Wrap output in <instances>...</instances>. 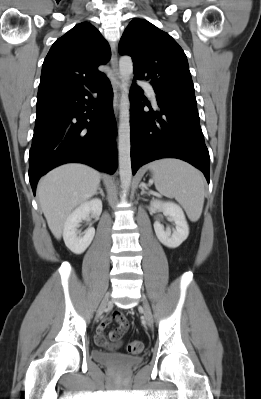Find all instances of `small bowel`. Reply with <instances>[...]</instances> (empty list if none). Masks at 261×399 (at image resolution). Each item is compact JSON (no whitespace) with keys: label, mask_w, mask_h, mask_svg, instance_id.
Returning a JSON list of instances; mask_svg holds the SVG:
<instances>
[{"label":"small bowel","mask_w":261,"mask_h":399,"mask_svg":"<svg viewBox=\"0 0 261 399\" xmlns=\"http://www.w3.org/2000/svg\"><path fill=\"white\" fill-rule=\"evenodd\" d=\"M112 321H116L119 324V327L110 331L106 336L105 330ZM128 326L129 324L125 316L121 312H114L112 315L102 320V322L98 325L95 334V342L101 347L110 350L116 349L120 347L122 336L127 330Z\"/></svg>","instance_id":"c3829d8e"}]
</instances>
